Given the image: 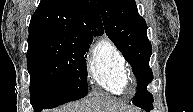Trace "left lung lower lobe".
Returning <instances> with one entry per match:
<instances>
[{"label":"left lung lower lobe","mask_w":193,"mask_h":112,"mask_svg":"<svg viewBox=\"0 0 193 112\" xmlns=\"http://www.w3.org/2000/svg\"><path fill=\"white\" fill-rule=\"evenodd\" d=\"M153 107L152 106H150L149 108H147V110H151Z\"/></svg>","instance_id":"left-lung-lower-lobe-1"}]
</instances>
